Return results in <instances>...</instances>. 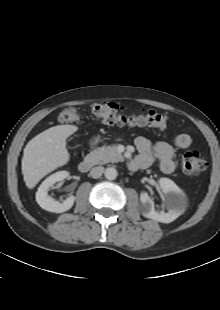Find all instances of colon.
Segmentation results:
<instances>
[{
	"instance_id": "obj_1",
	"label": "colon",
	"mask_w": 220,
	"mask_h": 310,
	"mask_svg": "<svg viewBox=\"0 0 220 310\" xmlns=\"http://www.w3.org/2000/svg\"><path fill=\"white\" fill-rule=\"evenodd\" d=\"M91 112L104 123L117 126L130 127H152L165 129L168 126L166 115L153 110H140L128 112L121 106L101 102L91 106ZM60 122L65 124L76 123L79 120V114L73 107L63 109L58 116ZM207 169V162L201 158L197 152L188 151L182 158V170L186 174H201Z\"/></svg>"
}]
</instances>
